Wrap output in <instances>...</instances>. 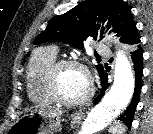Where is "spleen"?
<instances>
[{
    "mask_svg": "<svg viewBox=\"0 0 153 134\" xmlns=\"http://www.w3.org/2000/svg\"><path fill=\"white\" fill-rule=\"evenodd\" d=\"M109 132L111 134H124L125 127L121 123H116L115 125L109 128Z\"/></svg>",
    "mask_w": 153,
    "mask_h": 134,
    "instance_id": "3e777b00",
    "label": "spleen"
}]
</instances>
